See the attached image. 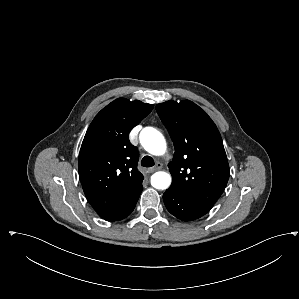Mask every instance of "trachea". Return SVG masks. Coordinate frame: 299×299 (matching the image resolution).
Listing matches in <instances>:
<instances>
[{
  "instance_id": "obj_1",
  "label": "trachea",
  "mask_w": 299,
  "mask_h": 299,
  "mask_svg": "<svg viewBox=\"0 0 299 299\" xmlns=\"http://www.w3.org/2000/svg\"><path fill=\"white\" fill-rule=\"evenodd\" d=\"M154 164H155L154 160L150 156H144L141 160V165L143 167H152V166H154Z\"/></svg>"
}]
</instances>
